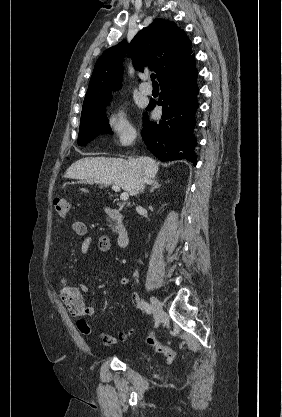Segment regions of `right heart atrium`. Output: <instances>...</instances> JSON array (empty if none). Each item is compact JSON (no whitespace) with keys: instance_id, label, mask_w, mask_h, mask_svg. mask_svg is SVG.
Masks as SVG:
<instances>
[{"instance_id":"1","label":"right heart atrium","mask_w":282,"mask_h":417,"mask_svg":"<svg viewBox=\"0 0 282 417\" xmlns=\"http://www.w3.org/2000/svg\"><path fill=\"white\" fill-rule=\"evenodd\" d=\"M110 126L120 137L123 144H129L134 137V130L126 120L123 113L112 115L109 119Z\"/></svg>"}]
</instances>
